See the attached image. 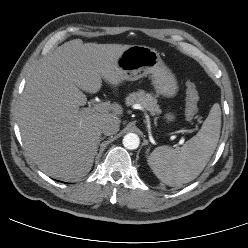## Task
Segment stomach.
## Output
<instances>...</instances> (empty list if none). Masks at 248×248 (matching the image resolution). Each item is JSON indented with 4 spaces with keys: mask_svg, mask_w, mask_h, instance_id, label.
Wrapping results in <instances>:
<instances>
[{
    "mask_svg": "<svg viewBox=\"0 0 248 248\" xmlns=\"http://www.w3.org/2000/svg\"><path fill=\"white\" fill-rule=\"evenodd\" d=\"M116 66L120 71V82L135 81L152 74V84L157 94L169 98L175 96L178 91L174 74L153 48L132 45L118 56ZM166 118L172 121L174 115L169 113Z\"/></svg>",
    "mask_w": 248,
    "mask_h": 248,
    "instance_id": "stomach-1",
    "label": "stomach"
}]
</instances>
